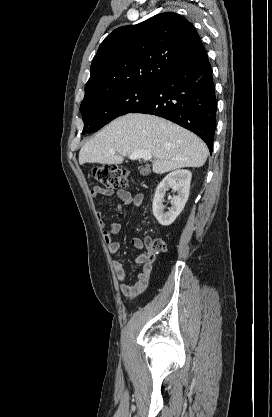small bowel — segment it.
<instances>
[{"label":"small bowel","instance_id":"1","mask_svg":"<svg viewBox=\"0 0 272 417\" xmlns=\"http://www.w3.org/2000/svg\"><path fill=\"white\" fill-rule=\"evenodd\" d=\"M91 195L93 197H98L100 195H114L118 197L120 199V204L117 205L118 211L121 210L122 206H133L138 208L142 205L144 200L143 194L140 193L133 195L124 189L102 188L99 186H95L91 189ZM97 216L103 229V238L107 244L109 252L111 254H117L120 251V244L114 240V236L121 230V224L113 223L107 226L102 220L101 211H97ZM131 243L133 248L137 251L143 250L145 245L148 244V242L144 243L140 238H133ZM134 262L141 265L137 274V280L134 283L127 282V272L124 265L120 261L113 262V269L116 278L121 282L118 285V289L128 300L136 298L147 289L152 270L151 265L146 263L145 255L141 252L136 254Z\"/></svg>","mask_w":272,"mask_h":417}]
</instances>
